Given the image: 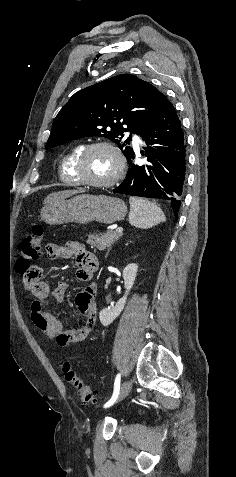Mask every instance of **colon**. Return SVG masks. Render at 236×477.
Wrapping results in <instances>:
<instances>
[{"label": "colon", "mask_w": 236, "mask_h": 477, "mask_svg": "<svg viewBox=\"0 0 236 477\" xmlns=\"http://www.w3.org/2000/svg\"><path fill=\"white\" fill-rule=\"evenodd\" d=\"M44 233L41 225L33 227V235L20 243L19 255L16 261V271L21 275L27 289L33 294L41 285V269L38 265L40 260V243ZM63 372L66 381L77 391L82 403H92L95 394L83 380L77 375L69 362L63 364Z\"/></svg>", "instance_id": "colon-1"}]
</instances>
